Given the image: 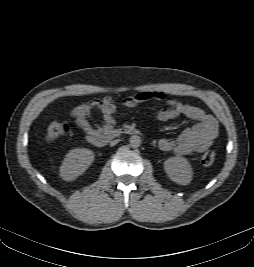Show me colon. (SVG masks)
<instances>
[{
    "label": "colon",
    "mask_w": 254,
    "mask_h": 267,
    "mask_svg": "<svg viewBox=\"0 0 254 267\" xmlns=\"http://www.w3.org/2000/svg\"><path fill=\"white\" fill-rule=\"evenodd\" d=\"M69 129L67 123L54 121L47 127L45 136L47 140L53 141L65 135ZM216 155L213 151H207L201 158L204 166H210L215 162Z\"/></svg>",
    "instance_id": "colon-1"
}]
</instances>
